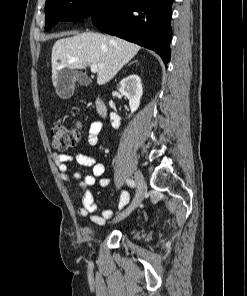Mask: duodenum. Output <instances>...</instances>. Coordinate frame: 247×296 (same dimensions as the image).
<instances>
[{"mask_svg":"<svg viewBox=\"0 0 247 296\" xmlns=\"http://www.w3.org/2000/svg\"><path fill=\"white\" fill-rule=\"evenodd\" d=\"M96 111L100 116H105L107 114V107L101 98L96 100Z\"/></svg>","mask_w":247,"mask_h":296,"instance_id":"1","label":"duodenum"}]
</instances>
